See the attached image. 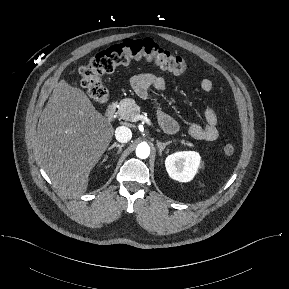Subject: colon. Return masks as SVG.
<instances>
[{
  "label": "colon",
  "mask_w": 289,
  "mask_h": 289,
  "mask_svg": "<svg viewBox=\"0 0 289 289\" xmlns=\"http://www.w3.org/2000/svg\"><path fill=\"white\" fill-rule=\"evenodd\" d=\"M134 60L152 62L161 69L175 74H183L188 70V64L183 57L164 50L153 40L128 39L97 53L86 65L82 66L79 70L81 84L93 101L103 103L108 97V91L103 85L101 76ZM222 152L230 156L234 154L235 147L232 144H226Z\"/></svg>",
  "instance_id": "5ec220e1"
}]
</instances>
